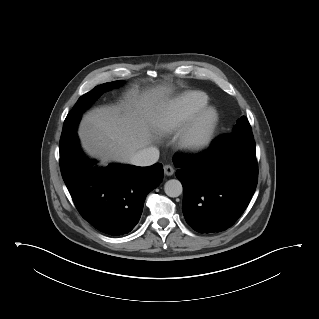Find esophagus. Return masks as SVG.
<instances>
[{
    "mask_svg": "<svg viewBox=\"0 0 319 319\" xmlns=\"http://www.w3.org/2000/svg\"><path fill=\"white\" fill-rule=\"evenodd\" d=\"M164 173L167 175V176H171L174 174V168L171 166V165H165L164 166Z\"/></svg>",
    "mask_w": 319,
    "mask_h": 319,
    "instance_id": "obj_1",
    "label": "esophagus"
}]
</instances>
